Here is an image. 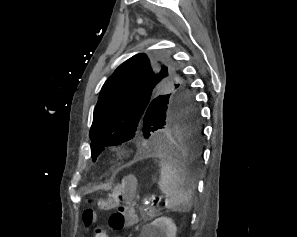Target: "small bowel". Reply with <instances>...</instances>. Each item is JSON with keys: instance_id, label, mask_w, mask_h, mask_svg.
I'll return each instance as SVG.
<instances>
[{"instance_id": "1", "label": "small bowel", "mask_w": 297, "mask_h": 237, "mask_svg": "<svg viewBox=\"0 0 297 237\" xmlns=\"http://www.w3.org/2000/svg\"><path fill=\"white\" fill-rule=\"evenodd\" d=\"M96 237H109L106 233L98 234Z\"/></svg>"}]
</instances>
